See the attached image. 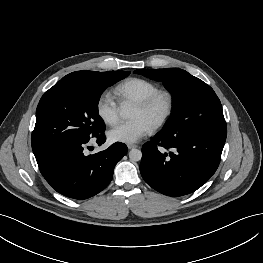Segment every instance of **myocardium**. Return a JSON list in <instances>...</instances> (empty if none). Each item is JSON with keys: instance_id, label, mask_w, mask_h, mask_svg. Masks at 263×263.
Segmentation results:
<instances>
[{"instance_id": "obj_1", "label": "myocardium", "mask_w": 263, "mask_h": 263, "mask_svg": "<svg viewBox=\"0 0 263 263\" xmlns=\"http://www.w3.org/2000/svg\"><path fill=\"white\" fill-rule=\"evenodd\" d=\"M164 98L166 100V109L164 113L153 123L152 130H157L164 126L171 118L175 109V96L167 89H159L149 95L147 98L134 104L135 107L147 111L151 109L159 99Z\"/></svg>"}]
</instances>
